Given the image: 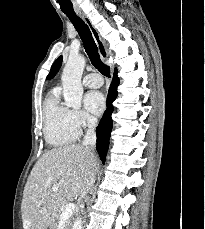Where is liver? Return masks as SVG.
<instances>
[{
  "mask_svg": "<svg viewBox=\"0 0 205 229\" xmlns=\"http://www.w3.org/2000/svg\"><path fill=\"white\" fill-rule=\"evenodd\" d=\"M97 164L95 154L82 144L53 148L42 154L23 192L24 229H47L63 203L81 197ZM54 186L58 187L56 191Z\"/></svg>",
  "mask_w": 205,
  "mask_h": 229,
  "instance_id": "obj_1",
  "label": "liver"
}]
</instances>
